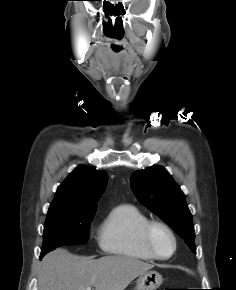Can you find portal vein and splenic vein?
I'll use <instances>...</instances> for the list:
<instances>
[{"label": "portal vein and splenic vein", "mask_w": 236, "mask_h": 290, "mask_svg": "<svg viewBox=\"0 0 236 290\" xmlns=\"http://www.w3.org/2000/svg\"><path fill=\"white\" fill-rule=\"evenodd\" d=\"M85 290H91V287H87Z\"/></svg>", "instance_id": "1"}]
</instances>
